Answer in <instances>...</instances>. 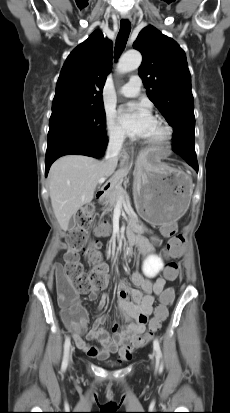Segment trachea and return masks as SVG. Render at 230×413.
<instances>
[{"label": "trachea", "mask_w": 230, "mask_h": 413, "mask_svg": "<svg viewBox=\"0 0 230 413\" xmlns=\"http://www.w3.org/2000/svg\"><path fill=\"white\" fill-rule=\"evenodd\" d=\"M130 31H131L130 22L126 19H122L120 22V31L118 33L116 44H115L116 59L119 57V55L124 50Z\"/></svg>", "instance_id": "1"}]
</instances>
